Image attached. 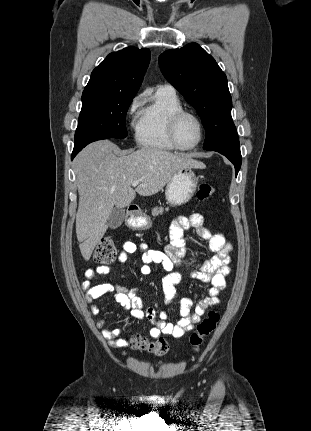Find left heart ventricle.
<instances>
[{
	"mask_svg": "<svg viewBox=\"0 0 311 431\" xmlns=\"http://www.w3.org/2000/svg\"><path fill=\"white\" fill-rule=\"evenodd\" d=\"M201 135V127L194 116H185L178 126V138L183 146L194 145Z\"/></svg>",
	"mask_w": 311,
	"mask_h": 431,
	"instance_id": "b2bd125f",
	"label": "left heart ventricle"
}]
</instances>
